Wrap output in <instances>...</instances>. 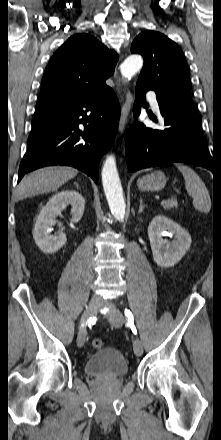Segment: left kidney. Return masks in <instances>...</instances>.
Masks as SVG:
<instances>
[{"instance_id":"1","label":"left kidney","mask_w":221,"mask_h":440,"mask_svg":"<svg viewBox=\"0 0 221 440\" xmlns=\"http://www.w3.org/2000/svg\"><path fill=\"white\" fill-rule=\"evenodd\" d=\"M174 236L173 241L163 239ZM148 236L154 261L160 267H171L179 262L191 245V236L178 223L164 215L155 216L148 226Z\"/></svg>"}]
</instances>
